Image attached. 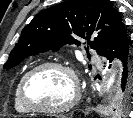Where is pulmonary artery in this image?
Listing matches in <instances>:
<instances>
[{"label": "pulmonary artery", "mask_w": 133, "mask_h": 118, "mask_svg": "<svg viewBox=\"0 0 133 118\" xmlns=\"http://www.w3.org/2000/svg\"><path fill=\"white\" fill-rule=\"evenodd\" d=\"M93 60H94V62H96L97 64H101V59H100V57L99 56H93Z\"/></svg>", "instance_id": "e3ab8cb5"}]
</instances>
